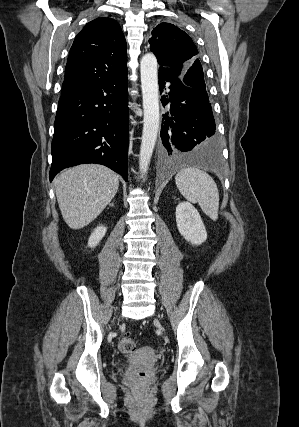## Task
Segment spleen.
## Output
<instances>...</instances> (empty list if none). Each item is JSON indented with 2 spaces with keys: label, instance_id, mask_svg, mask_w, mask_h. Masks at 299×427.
Listing matches in <instances>:
<instances>
[{
  "label": "spleen",
  "instance_id": "spleen-1",
  "mask_svg": "<svg viewBox=\"0 0 299 427\" xmlns=\"http://www.w3.org/2000/svg\"><path fill=\"white\" fill-rule=\"evenodd\" d=\"M175 183L188 201L198 203L212 220L218 219L219 192L210 175L198 168H184L176 174Z\"/></svg>",
  "mask_w": 299,
  "mask_h": 427
}]
</instances>
